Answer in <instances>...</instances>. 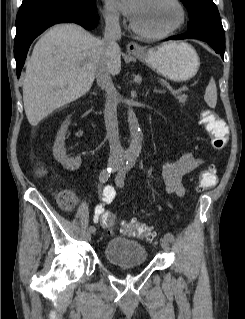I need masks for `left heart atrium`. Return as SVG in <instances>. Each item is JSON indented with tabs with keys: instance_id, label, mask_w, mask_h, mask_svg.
Masks as SVG:
<instances>
[{
	"instance_id": "39dd6f15",
	"label": "left heart atrium",
	"mask_w": 245,
	"mask_h": 319,
	"mask_svg": "<svg viewBox=\"0 0 245 319\" xmlns=\"http://www.w3.org/2000/svg\"><path fill=\"white\" fill-rule=\"evenodd\" d=\"M109 2L120 8L129 19L133 20L138 13L142 0H109Z\"/></svg>"
}]
</instances>
